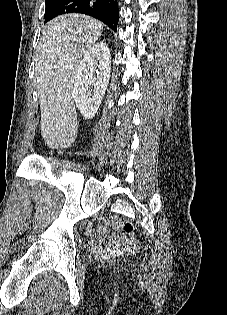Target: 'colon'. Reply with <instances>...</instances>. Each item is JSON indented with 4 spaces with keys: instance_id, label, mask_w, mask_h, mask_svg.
I'll return each mask as SVG.
<instances>
[{
    "instance_id": "obj_1",
    "label": "colon",
    "mask_w": 227,
    "mask_h": 315,
    "mask_svg": "<svg viewBox=\"0 0 227 315\" xmlns=\"http://www.w3.org/2000/svg\"><path fill=\"white\" fill-rule=\"evenodd\" d=\"M119 226L123 234V238L127 242V251L135 254L139 247V242L136 239L135 226L132 221L128 219H121Z\"/></svg>"
}]
</instances>
